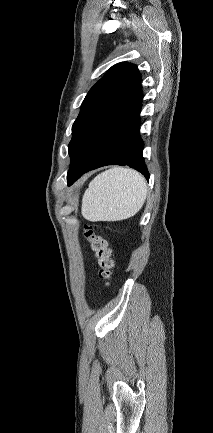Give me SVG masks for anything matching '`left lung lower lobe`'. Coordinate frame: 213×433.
<instances>
[{"mask_svg":"<svg viewBox=\"0 0 213 433\" xmlns=\"http://www.w3.org/2000/svg\"><path fill=\"white\" fill-rule=\"evenodd\" d=\"M141 95L114 126L100 150L92 160L67 182L71 185L83 173L106 165L129 166L149 179V173L142 155L144 143L139 134Z\"/></svg>","mask_w":213,"mask_h":433,"instance_id":"0a47b994","label":"left lung lower lobe"}]
</instances>
